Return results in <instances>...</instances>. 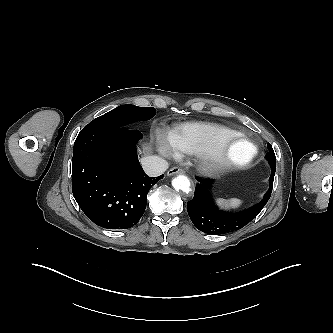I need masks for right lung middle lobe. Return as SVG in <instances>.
I'll return each mask as SVG.
<instances>
[{"label": "right lung middle lobe", "mask_w": 333, "mask_h": 333, "mask_svg": "<svg viewBox=\"0 0 333 333\" xmlns=\"http://www.w3.org/2000/svg\"><path fill=\"white\" fill-rule=\"evenodd\" d=\"M155 114L156 110L153 107H138L126 104L92 120L86 126L124 127L134 121L149 120Z\"/></svg>", "instance_id": "right-lung-middle-lobe-1"}]
</instances>
